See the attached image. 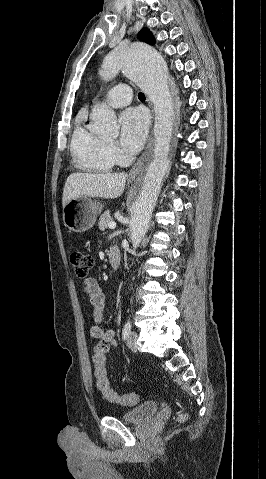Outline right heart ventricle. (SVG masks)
Here are the masks:
<instances>
[{"label": "right heart ventricle", "mask_w": 266, "mask_h": 479, "mask_svg": "<svg viewBox=\"0 0 266 479\" xmlns=\"http://www.w3.org/2000/svg\"><path fill=\"white\" fill-rule=\"evenodd\" d=\"M71 153L76 167L86 172H109L115 164L108 143L87 129L82 118L78 119L72 134Z\"/></svg>", "instance_id": "1"}]
</instances>
